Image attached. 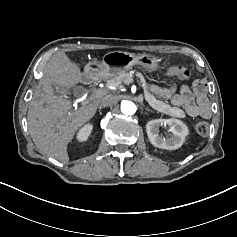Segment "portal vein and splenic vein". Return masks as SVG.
<instances>
[{
  "instance_id": "portal-vein-and-splenic-vein-1",
  "label": "portal vein and splenic vein",
  "mask_w": 237,
  "mask_h": 237,
  "mask_svg": "<svg viewBox=\"0 0 237 237\" xmlns=\"http://www.w3.org/2000/svg\"><path fill=\"white\" fill-rule=\"evenodd\" d=\"M131 82H133L132 78H129L127 81H123V84H130ZM133 83H135V82H133ZM133 86H135V85H133Z\"/></svg>"
}]
</instances>
